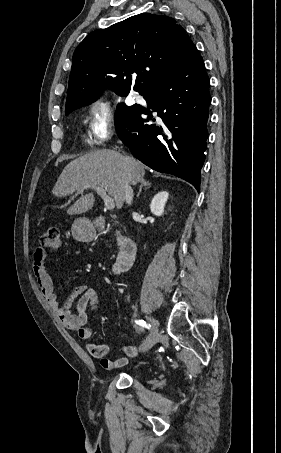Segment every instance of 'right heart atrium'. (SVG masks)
Returning a JSON list of instances; mask_svg holds the SVG:
<instances>
[{
    "mask_svg": "<svg viewBox=\"0 0 281 453\" xmlns=\"http://www.w3.org/2000/svg\"><path fill=\"white\" fill-rule=\"evenodd\" d=\"M117 119L112 110L102 101H95L88 107V135L97 143L107 142L114 134ZM93 158L97 162H106V168L111 172H119V158L106 152H98Z\"/></svg>",
    "mask_w": 281,
    "mask_h": 453,
    "instance_id": "1",
    "label": "right heart atrium"
}]
</instances>
